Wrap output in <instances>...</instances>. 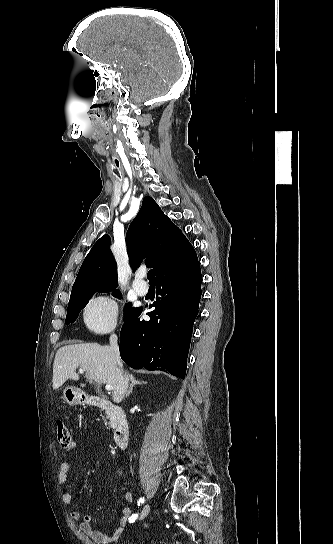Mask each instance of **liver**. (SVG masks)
Segmentation results:
<instances>
[{
  "instance_id": "1",
  "label": "liver",
  "mask_w": 333,
  "mask_h": 544,
  "mask_svg": "<svg viewBox=\"0 0 333 544\" xmlns=\"http://www.w3.org/2000/svg\"><path fill=\"white\" fill-rule=\"evenodd\" d=\"M83 368L90 384H109L113 387L112 399L120 403L128 388L129 375L121 373L116 354L109 346L98 343L65 345L58 349L53 364V389L60 388L68 379L79 380L76 368ZM85 387V384H81Z\"/></svg>"
}]
</instances>
